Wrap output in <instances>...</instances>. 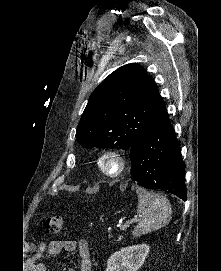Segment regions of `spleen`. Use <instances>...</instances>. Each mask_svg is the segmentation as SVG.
Instances as JSON below:
<instances>
[{"mask_svg": "<svg viewBox=\"0 0 221 271\" xmlns=\"http://www.w3.org/2000/svg\"><path fill=\"white\" fill-rule=\"evenodd\" d=\"M137 195L138 223L132 231L134 237L168 225L172 217V207L165 195L151 193V191H146L143 187H138Z\"/></svg>", "mask_w": 221, "mask_h": 271, "instance_id": "obj_1", "label": "spleen"}]
</instances>
